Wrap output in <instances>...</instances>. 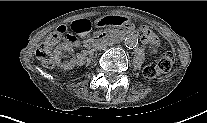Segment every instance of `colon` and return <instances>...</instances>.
Here are the masks:
<instances>
[{
	"instance_id": "1",
	"label": "colon",
	"mask_w": 207,
	"mask_h": 123,
	"mask_svg": "<svg viewBox=\"0 0 207 123\" xmlns=\"http://www.w3.org/2000/svg\"><path fill=\"white\" fill-rule=\"evenodd\" d=\"M74 42V36L68 31L67 27L61 26L57 32L46 40L36 51L38 59L47 67H53L51 53L53 46L59 40ZM174 58L171 53H166L158 62L147 65L144 69V76L153 79L159 75L170 71L173 66Z\"/></svg>"
}]
</instances>
